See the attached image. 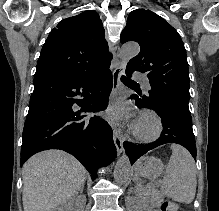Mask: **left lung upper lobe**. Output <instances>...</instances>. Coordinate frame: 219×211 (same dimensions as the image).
Masks as SVG:
<instances>
[{
  "mask_svg": "<svg viewBox=\"0 0 219 211\" xmlns=\"http://www.w3.org/2000/svg\"><path fill=\"white\" fill-rule=\"evenodd\" d=\"M136 41L141 49L126 67L127 73H146L149 96L162 106L172 105L189 112V71L186 50L178 32L150 10H133L121 33V42Z\"/></svg>",
  "mask_w": 219,
  "mask_h": 211,
  "instance_id": "5c2ea615",
  "label": "left lung upper lobe"
}]
</instances>
